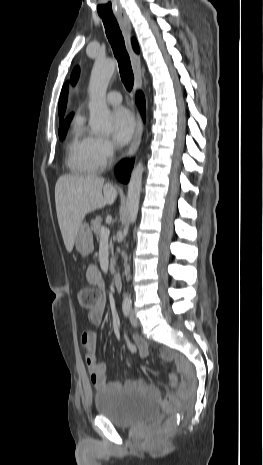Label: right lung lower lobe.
Instances as JSON below:
<instances>
[{"label": "right lung lower lobe", "mask_w": 263, "mask_h": 465, "mask_svg": "<svg viewBox=\"0 0 263 465\" xmlns=\"http://www.w3.org/2000/svg\"><path fill=\"white\" fill-rule=\"evenodd\" d=\"M137 105L142 113L143 119H145V99L141 92L137 93L136 96ZM133 167V161L122 160L115 168L116 177L124 183H127L130 177V172Z\"/></svg>", "instance_id": "98d812e1"}]
</instances>
